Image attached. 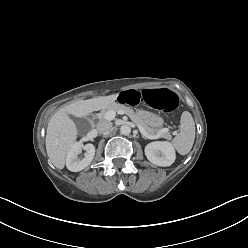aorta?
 Returning a JSON list of instances; mask_svg holds the SVG:
<instances>
[{"mask_svg": "<svg viewBox=\"0 0 248 248\" xmlns=\"http://www.w3.org/2000/svg\"><path fill=\"white\" fill-rule=\"evenodd\" d=\"M120 132L123 135H129L131 133V127L128 125H122L120 127Z\"/></svg>", "mask_w": 248, "mask_h": 248, "instance_id": "aorta-1", "label": "aorta"}]
</instances>
